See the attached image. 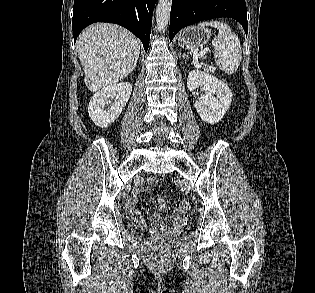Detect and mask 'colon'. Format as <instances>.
Masks as SVG:
<instances>
[{
    "label": "colon",
    "instance_id": "1",
    "mask_svg": "<svg viewBox=\"0 0 315 293\" xmlns=\"http://www.w3.org/2000/svg\"><path fill=\"white\" fill-rule=\"evenodd\" d=\"M177 207H178V210L177 211H186L189 209V203L185 200H179L177 202Z\"/></svg>",
    "mask_w": 315,
    "mask_h": 293
}]
</instances>
